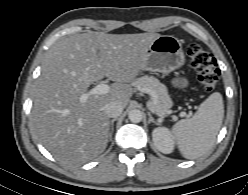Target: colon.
I'll list each match as a JSON object with an SVG mask.
<instances>
[{"label": "colon", "mask_w": 248, "mask_h": 195, "mask_svg": "<svg viewBox=\"0 0 248 195\" xmlns=\"http://www.w3.org/2000/svg\"><path fill=\"white\" fill-rule=\"evenodd\" d=\"M187 54L204 90L212 91L220 78V70L214 56L196 44L188 47Z\"/></svg>", "instance_id": "5ec220e1"}]
</instances>
